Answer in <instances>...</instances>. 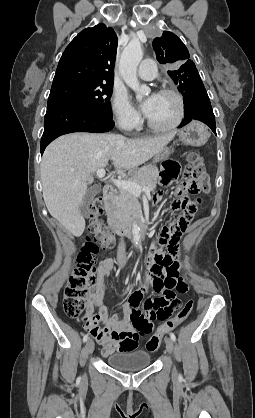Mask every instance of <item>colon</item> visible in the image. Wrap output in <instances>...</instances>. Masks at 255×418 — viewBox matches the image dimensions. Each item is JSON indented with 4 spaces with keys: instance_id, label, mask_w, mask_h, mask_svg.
I'll return each instance as SVG.
<instances>
[{
    "instance_id": "colon-1",
    "label": "colon",
    "mask_w": 255,
    "mask_h": 418,
    "mask_svg": "<svg viewBox=\"0 0 255 418\" xmlns=\"http://www.w3.org/2000/svg\"><path fill=\"white\" fill-rule=\"evenodd\" d=\"M183 175L185 180L180 188V198L174 203V207L178 209V212L180 210L182 211V214L179 215L180 221H190L198 209L199 201L191 200L185 194L207 193L211 189V181L209 175L204 171L200 157L197 155H190L188 157V163L184 168ZM103 211L104 205L102 199H94L88 211V232L93 237L88 238L81 246L77 255L75 268L64 290V309L66 314L74 319L83 318L85 326H90L95 321V316H89L88 314L84 316V313L88 297L92 291L91 286L96 280V255L100 248L109 249L115 242L113 234L100 220ZM170 227L177 230L178 223ZM193 305L192 300L186 301L182 309L171 320H165L164 324L147 341V350L151 352L156 351L162 337L187 319L193 309Z\"/></svg>"
}]
</instances>
